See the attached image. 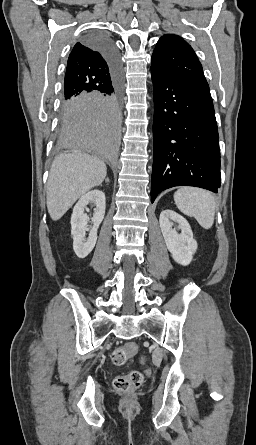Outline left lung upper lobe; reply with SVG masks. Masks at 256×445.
Instances as JSON below:
<instances>
[{
  "label": "left lung upper lobe",
  "instance_id": "obj_1",
  "mask_svg": "<svg viewBox=\"0 0 256 445\" xmlns=\"http://www.w3.org/2000/svg\"><path fill=\"white\" fill-rule=\"evenodd\" d=\"M151 60V67L176 73L195 84L209 87L194 50L177 35L162 36L157 42Z\"/></svg>",
  "mask_w": 256,
  "mask_h": 445
}]
</instances>
